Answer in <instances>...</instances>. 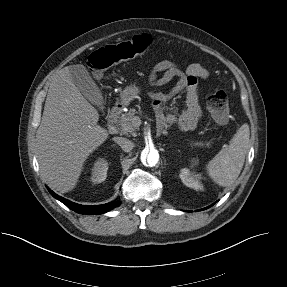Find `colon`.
I'll list each match as a JSON object with an SVG mask.
<instances>
[{"label": "colon", "mask_w": 287, "mask_h": 287, "mask_svg": "<svg viewBox=\"0 0 287 287\" xmlns=\"http://www.w3.org/2000/svg\"><path fill=\"white\" fill-rule=\"evenodd\" d=\"M151 44V37L141 34L128 41L106 45L89 56V67L95 75H101L109 67L143 54ZM207 106L211 116L217 123L226 124L228 122L229 104L227 95L223 90L215 89L210 93Z\"/></svg>", "instance_id": "obj_1"}]
</instances>
